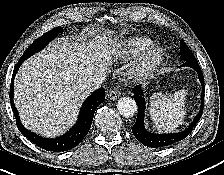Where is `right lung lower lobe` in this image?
Listing matches in <instances>:
<instances>
[{"label":"right lung lower lobe","mask_w":224,"mask_h":175,"mask_svg":"<svg viewBox=\"0 0 224 175\" xmlns=\"http://www.w3.org/2000/svg\"><path fill=\"white\" fill-rule=\"evenodd\" d=\"M26 59H19L16 67L14 68L12 80H11V91H10V102L11 107L14 113V116L17 121V127L20 130V132L28 138L30 141H32L34 144L39 146L40 148L47 150V151H53V152H62V151H68L72 148H74L76 145H78L83 138L87 135V133L90 130L92 120L94 117V113L97 109V107L104 101L105 99V92L104 88H99L96 91H94L83 103L78 121L73 126L70 131H68L63 136H60L55 139H49V138H43L38 135H36L33 132H30L27 130L20 122L18 111L15 108L14 102H13V94H14V77L19 69V67L22 65V63Z\"/></svg>","instance_id":"right-lung-lower-lobe-1"}]
</instances>
